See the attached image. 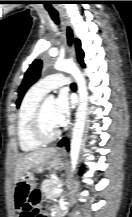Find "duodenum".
I'll list each match as a JSON object with an SVG mask.
<instances>
[{
	"label": "duodenum",
	"instance_id": "1",
	"mask_svg": "<svg viewBox=\"0 0 132 217\" xmlns=\"http://www.w3.org/2000/svg\"><path fill=\"white\" fill-rule=\"evenodd\" d=\"M53 217H60V215H59L58 213H55V214L53 215Z\"/></svg>",
	"mask_w": 132,
	"mask_h": 217
}]
</instances>
